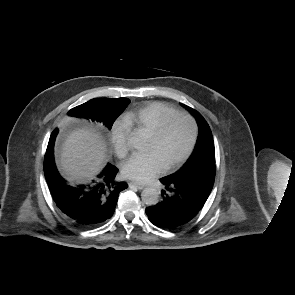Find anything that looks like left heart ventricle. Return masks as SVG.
Segmentation results:
<instances>
[{"mask_svg": "<svg viewBox=\"0 0 295 295\" xmlns=\"http://www.w3.org/2000/svg\"><path fill=\"white\" fill-rule=\"evenodd\" d=\"M192 136L188 119L179 117L172 120L160 139L150 137L148 152H155L166 167L180 158L187 150Z\"/></svg>", "mask_w": 295, "mask_h": 295, "instance_id": "b2bd125f", "label": "left heart ventricle"}]
</instances>
